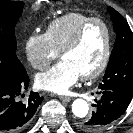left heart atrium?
Wrapping results in <instances>:
<instances>
[{"instance_id":"1","label":"left heart atrium","mask_w":133,"mask_h":133,"mask_svg":"<svg viewBox=\"0 0 133 133\" xmlns=\"http://www.w3.org/2000/svg\"><path fill=\"white\" fill-rule=\"evenodd\" d=\"M81 77L74 65L62 59L49 70L40 73L35 78L38 88L56 93H66Z\"/></svg>"}]
</instances>
